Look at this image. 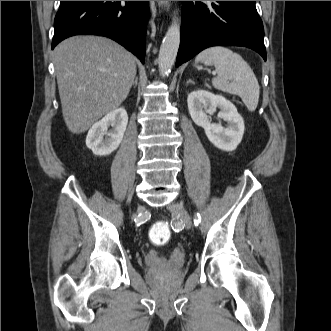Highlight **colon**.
<instances>
[{
  "mask_svg": "<svg viewBox=\"0 0 331 331\" xmlns=\"http://www.w3.org/2000/svg\"><path fill=\"white\" fill-rule=\"evenodd\" d=\"M149 238L155 245L166 244L171 238V229L169 225L162 221L156 222L150 228Z\"/></svg>",
  "mask_w": 331,
  "mask_h": 331,
  "instance_id": "colon-1",
  "label": "colon"
}]
</instances>
